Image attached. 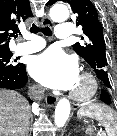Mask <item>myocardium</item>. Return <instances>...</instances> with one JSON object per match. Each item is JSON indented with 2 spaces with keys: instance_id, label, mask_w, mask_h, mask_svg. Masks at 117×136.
<instances>
[{
  "instance_id": "obj_1",
  "label": "myocardium",
  "mask_w": 117,
  "mask_h": 136,
  "mask_svg": "<svg viewBox=\"0 0 117 136\" xmlns=\"http://www.w3.org/2000/svg\"><path fill=\"white\" fill-rule=\"evenodd\" d=\"M79 79L83 80L87 84V89L83 92L72 90L70 93L71 99L78 102H86L92 99L98 92V81L96 77L90 72H82L79 75Z\"/></svg>"
}]
</instances>
